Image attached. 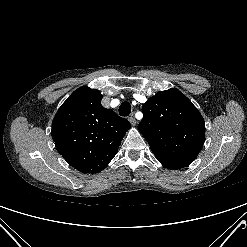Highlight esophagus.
<instances>
[{
    "instance_id": "obj_1",
    "label": "esophagus",
    "mask_w": 247,
    "mask_h": 247,
    "mask_svg": "<svg viewBox=\"0 0 247 247\" xmlns=\"http://www.w3.org/2000/svg\"><path fill=\"white\" fill-rule=\"evenodd\" d=\"M129 122L131 123V125L135 126L136 125V120L133 116L129 117Z\"/></svg>"
}]
</instances>
